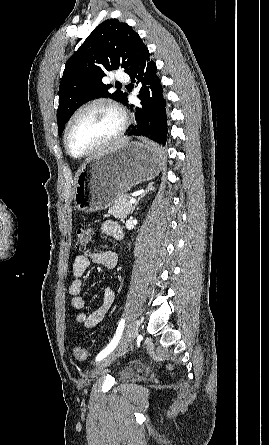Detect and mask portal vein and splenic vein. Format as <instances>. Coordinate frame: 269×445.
Wrapping results in <instances>:
<instances>
[{
	"instance_id": "18ae733b",
	"label": "portal vein and splenic vein",
	"mask_w": 269,
	"mask_h": 445,
	"mask_svg": "<svg viewBox=\"0 0 269 445\" xmlns=\"http://www.w3.org/2000/svg\"><path fill=\"white\" fill-rule=\"evenodd\" d=\"M135 202H136V199H134V198H131L129 201L130 204H134Z\"/></svg>"
}]
</instances>
